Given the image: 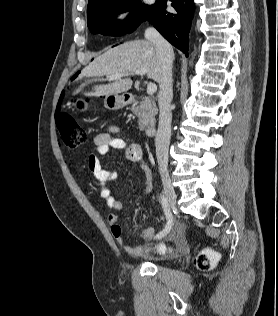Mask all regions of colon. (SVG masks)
<instances>
[{
	"instance_id": "colon-1",
	"label": "colon",
	"mask_w": 278,
	"mask_h": 316,
	"mask_svg": "<svg viewBox=\"0 0 278 316\" xmlns=\"http://www.w3.org/2000/svg\"><path fill=\"white\" fill-rule=\"evenodd\" d=\"M56 125L62 143L70 149L83 145L87 140L86 132L81 128L77 121L66 113H59L56 117ZM157 250L162 253L170 251L165 245L157 246ZM218 260V254L212 249L201 251L195 258V265L199 270H211Z\"/></svg>"
}]
</instances>
